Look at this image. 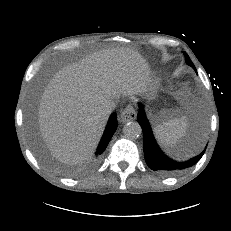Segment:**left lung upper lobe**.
Listing matches in <instances>:
<instances>
[{
    "label": "left lung upper lobe",
    "instance_id": "1",
    "mask_svg": "<svg viewBox=\"0 0 231 231\" xmlns=\"http://www.w3.org/2000/svg\"><path fill=\"white\" fill-rule=\"evenodd\" d=\"M183 53H184V55H185L186 63H187L188 65H190L192 68L195 69V66L193 65V63H192V61L190 60V58H189V56L187 55V53H186V52H183ZM195 71H196V69H195Z\"/></svg>",
    "mask_w": 231,
    "mask_h": 231
}]
</instances>
